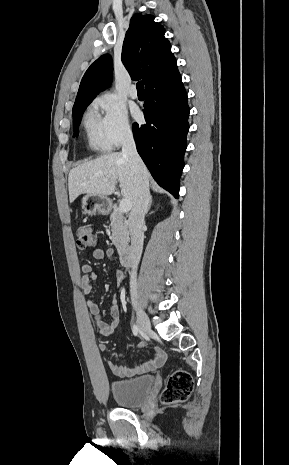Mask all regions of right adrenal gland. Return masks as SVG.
I'll list each match as a JSON object with an SVG mask.
<instances>
[{
  "instance_id": "2a0ac1e0",
  "label": "right adrenal gland",
  "mask_w": 289,
  "mask_h": 465,
  "mask_svg": "<svg viewBox=\"0 0 289 465\" xmlns=\"http://www.w3.org/2000/svg\"><path fill=\"white\" fill-rule=\"evenodd\" d=\"M152 196L150 197V201H149V205H148V208H147V213L148 211L151 209V205H152Z\"/></svg>"
}]
</instances>
